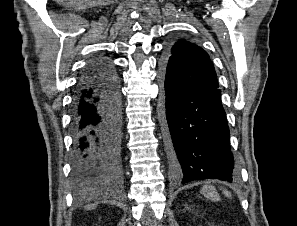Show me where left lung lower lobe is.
Here are the masks:
<instances>
[{"label":"left lung lower lobe","instance_id":"0a47b994","mask_svg":"<svg viewBox=\"0 0 297 226\" xmlns=\"http://www.w3.org/2000/svg\"><path fill=\"white\" fill-rule=\"evenodd\" d=\"M161 78L164 84L162 118L175 180L232 182L236 167L218 86L194 90L163 63Z\"/></svg>","mask_w":297,"mask_h":226}]
</instances>
